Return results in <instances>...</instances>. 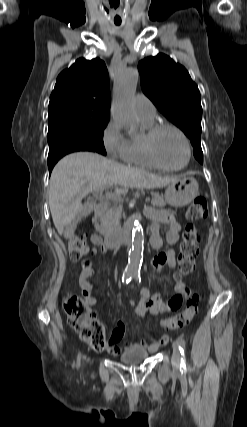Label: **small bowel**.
I'll list each match as a JSON object with an SVG mask.
<instances>
[{
  "mask_svg": "<svg viewBox=\"0 0 247 427\" xmlns=\"http://www.w3.org/2000/svg\"><path fill=\"white\" fill-rule=\"evenodd\" d=\"M152 218L150 243L153 248L160 249L163 246V239L160 236V229L164 228L166 231L165 240L169 245L178 242L181 230V224L176 215L168 210H153L148 212ZM91 242L99 246L102 244V239L98 235L91 237ZM105 250V248H104ZM167 265L169 268L174 269L176 266V253L173 249H168L165 252L158 254L152 261L151 266L156 274H159L162 268ZM95 270L92 262L85 259L82 262V271L79 276V285L82 295L88 305L93 306L97 304V299L93 296V285L90 278L94 275ZM175 296L169 301H164L159 295H150L148 289L140 288L141 299L133 302L134 313L138 316H144L150 313L157 316L161 313H166L170 310L178 309L182 301L188 297L189 290L184 282H178L175 285ZM125 334V324L123 321H118L116 328L113 330L109 340L106 351L111 355H116L120 352L118 343H120ZM168 336L162 335L158 338H153L150 343L145 340H140L135 344H128V348H143L149 352H156L160 347L168 342Z\"/></svg>",
  "mask_w": 247,
  "mask_h": 427,
  "instance_id": "c3829d8e",
  "label": "small bowel"
}]
</instances>
